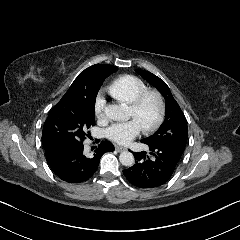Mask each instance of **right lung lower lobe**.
Masks as SVG:
<instances>
[{"label":"right lung lower lobe","mask_w":240,"mask_h":240,"mask_svg":"<svg viewBox=\"0 0 240 240\" xmlns=\"http://www.w3.org/2000/svg\"><path fill=\"white\" fill-rule=\"evenodd\" d=\"M46 160L54 174L69 183H80L88 180L98 169L100 158L108 151H114L109 141H102L87 155L83 143L55 144L44 147Z\"/></svg>","instance_id":"1"}]
</instances>
